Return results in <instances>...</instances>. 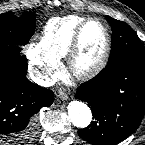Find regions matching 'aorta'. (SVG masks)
<instances>
[{
	"label": "aorta",
	"instance_id": "aorta-1",
	"mask_svg": "<svg viewBox=\"0 0 145 145\" xmlns=\"http://www.w3.org/2000/svg\"><path fill=\"white\" fill-rule=\"evenodd\" d=\"M68 116L71 123L78 128L87 127L92 121L89 107L80 101H71L68 105Z\"/></svg>",
	"mask_w": 145,
	"mask_h": 145
}]
</instances>
